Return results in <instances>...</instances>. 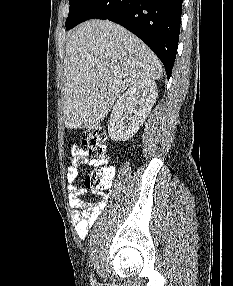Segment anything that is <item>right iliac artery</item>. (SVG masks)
Masks as SVG:
<instances>
[{"mask_svg":"<svg viewBox=\"0 0 233 286\" xmlns=\"http://www.w3.org/2000/svg\"><path fill=\"white\" fill-rule=\"evenodd\" d=\"M95 279L93 278V275H91V284H92V286H94L95 285Z\"/></svg>","mask_w":233,"mask_h":286,"instance_id":"obj_1","label":"right iliac artery"}]
</instances>
